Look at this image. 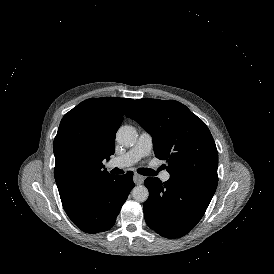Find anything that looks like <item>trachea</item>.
Listing matches in <instances>:
<instances>
[{
	"mask_svg": "<svg viewBox=\"0 0 274 274\" xmlns=\"http://www.w3.org/2000/svg\"><path fill=\"white\" fill-rule=\"evenodd\" d=\"M159 171L161 170V168L158 169ZM113 174H123L124 171L118 169V168H115L111 171ZM137 172L139 174H142L144 176H155L157 175V171H154L153 169H149V168H140L137 170Z\"/></svg>",
	"mask_w": 274,
	"mask_h": 274,
	"instance_id": "obj_1",
	"label": "trachea"
}]
</instances>
